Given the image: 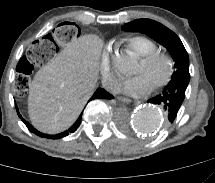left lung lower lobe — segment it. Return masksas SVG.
I'll list each match as a JSON object with an SVG mask.
<instances>
[{
	"instance_id": "0a47b994",
	"label": "left lung lower lobe",
	"mask_w": 215,
	"mask_h": 183,
	"mask_svg": "<svg viewBox=\"0 0 215 183\" xmlns=\"http://www.w3.org/2000/svg\"><path fill=\"white\" fill-rule=\"evenodd\" d=\"M188 83L183 80H171L160 94L148 102L163 107L168 115V121L173 123L185 98Z\"/></svg>"
}]
</instances>
